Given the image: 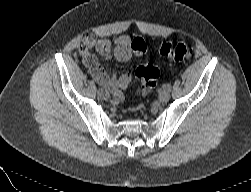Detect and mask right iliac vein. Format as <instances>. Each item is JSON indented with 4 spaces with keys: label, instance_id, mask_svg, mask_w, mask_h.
I'll return each instance as SVG.
<instances>
[{
    "label": "right iliac vein",
    "instance_id": "obj_1",
    "mask_svg": "<svg viewBox=\"0 0 251 192\" xmlns=\"http://www.w3.org/2000/svg\"><path fill=\"white\" fill-rule=\"evenodd\" d=\"M101 96L104 100H108L110 98V94L107 91H104Z\"/></svg>",
    "mask_w": 251,
    "mask_h": 192
}]
</instances>
